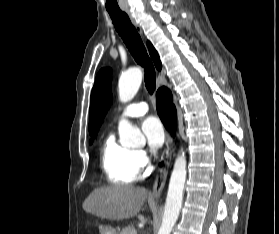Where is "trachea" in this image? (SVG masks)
Here are the masks:
<instances>
[{
	"label": "trachea",
	"instance_id": "obj_1",
	"mask_svg": "<svg viewBox=\"0 0 279 234\" xmlns=\"http://www.w3.org/2000/svg\"><path fill=\"white\" fill-rule=\"evenodd\" d=\"M109 14L116 31L123 39L133 58L144 68L145 86L148 92L153 94L156 85L155 69L140 35L125 12H109Z\"/></svg>",
	"mask_w": 279,
	"mask_h": 234
}]
</instances>
